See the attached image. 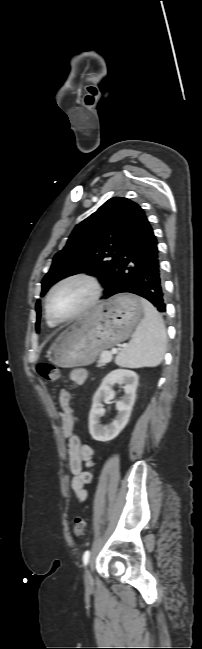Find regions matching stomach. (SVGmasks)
<instances>
[{
  "instance_id": "1",
  "label": "stomach",
  "mask_w": 202,
  "mask_h": 649,
  "mask_svg": "<svg viewBox=\"0 0 202 649\" xmlns=\"http://www.w3.org/2000/svg\"><path fill=\"white\" fill-rule=\"evenodd\" d=\"M144 314L141 298L115 295L60 333L46 358L59 367L88 365L103 350L126 340Z\"/></svg>"
}]
</instances>
